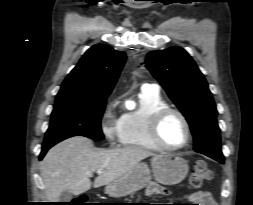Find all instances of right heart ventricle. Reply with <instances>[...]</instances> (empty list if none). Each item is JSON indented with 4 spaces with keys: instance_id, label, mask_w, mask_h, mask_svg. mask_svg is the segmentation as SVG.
<instances>
[{
    "instance_id": "obj_1",
    "label": "right heart ventricle",
    "mask_w": 253,
    "mask_h": 205,
    "mask_svg": "<svg viewBox=\"0 0 253 205\" xmlns=\"http://www.w3.org/2000/svg\"><path fill=\"white\" fill-rule=\"evenodd\" d=\"M169 107L158 91L144 90L139 93V107L120 118L119 143L123 147L157 151L159 148L149 136V123L157 111Z\"/></svg>"
}]
</instances>
